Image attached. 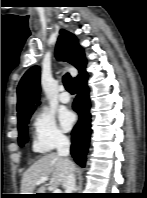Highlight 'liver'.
Wrapping results in <instances>:
<instances>
[{
  "instance_id": "6515ba94",
  "label": "liver",
  "mask_w": 147,
  "mask_h": 198,
  "mask_svg": "<svg viewBox=\"0 0 147 198\" xmlns=\"http://www.w3.org/2000/svg\"><path fill=\"white\" fill-rule=\"evenodd\" d=\"M75 170V165H69L58 153H49L37 160L25 173L21 181V194H34L36 182L42 177H50V186L58 187L66 182L69 171ZM46 185L41 186L37 193H45Z\"/></svg>"
}]
</instances>
